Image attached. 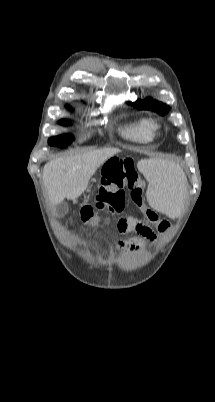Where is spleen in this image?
<instances>
[{
    "label": "spleen",
    "mask_w": 215,
    "mask_h": 402,
    "mask_svg": "<svg viewBox=\"0 0 215 402\" xmlns=\"http://www.w3.org/2000/svg\"><path fill=\"white\" fill-rule=\"evenodd\" d=\"M138 169L149 182L150 209L165 212L172 218L176 212L184 214L185 209L179 196L184 191L185 177L178 166L150 159L138 162Z\"/></svg>",
    "instance_id": "obj_1"
}]
</instances>
